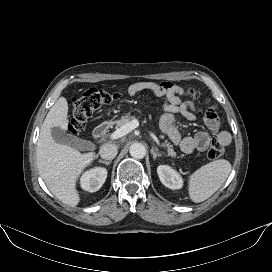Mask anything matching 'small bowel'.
Segmentation results:
<instances>
[{"mask_svg": "<svg viewBox=\"0 0 272 272\" xmlns=\"http://www.w3.org/2000/svg\"><path fill=\"white\" fill-rule=\"evenodd\" d=\"M142 91H150L156 97L163 100V115L160 118V129L167 135L173 143L180 149L190 154L194 151H205L210 143L211 137L206 132H198L194 136L182 137L177 125L176 115L180 114L189 121L196 120L194 107L189 103H184L180 96L185 94L183 88L170 82L156 83L152 81H140L131 84L128 89V95L135 97ZM206 126L222 145H228L231 141L230 134L220 129V123L217 117L206 118Z\"/></svg>", "mask_w": 272, "mask_h": 272, "instance_id": "obj_1", "label": "small bowel"}]
</instances>
